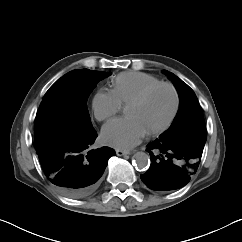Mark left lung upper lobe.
<instances>
[{
  "instance_id": "obj_1",
  "label": "left lung upper lobe",
  "mask_w": 242,
  "mask_h": 242,
  "mask_svg": "<svg viewBox=\"0 0 242 242\" xmlns=\"http://www.w3.org/2000/svg\"><path fill=\"white\" fill-rule=\"evenodd\" d=\"M163 71L171 78L178 91L180 108L170 128L161 134L159 139L172 143L205 144L207 133L204 117L194 91L173 73Z\"/></svg>"
}]
</instances>
